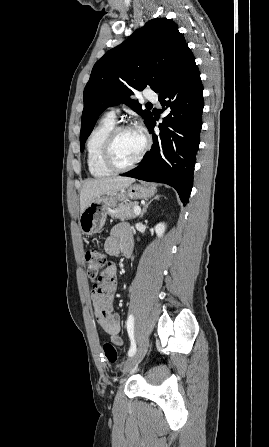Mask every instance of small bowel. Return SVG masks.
<instances>
[{
    "label": "small bowel",
    "instance_id": "obj_1",
    "mask_svg": "<svg viewBox=\"0 0 269 447\" xmlns=\"http://www.w3.org/2000/svg\"><path fill=\"white\" fill-rule=\"evenodd\" d=\"M133 247L132 236L125 225L115 226L105 243V250L116 255L120 249L125 253ZM117 268L109 265L101 274L96 286L90 292V299L94 308L95 319L100 328L107 333L117 346L123 345L120 336L121 319L119 314L113 312L114 292L117 286Z\"/></svg>",
    "mask_w": 269,
    "mask_h": 447
}]
</instances>
